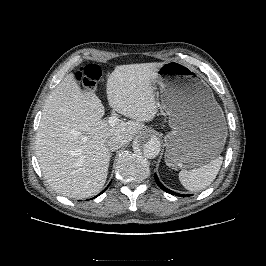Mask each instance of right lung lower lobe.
Segmentation results:
<instances>
[{
  "label": "right lung lower lobe",
  "instance_id": "1",
  "mask_svg": "<svg viewBox=\"0 0 266 266\" xmlns=\"http://www.w3.org/2000/svg\"><path fill=\"white\" fill-rule=\"evenodd\" d=\"M107 188H108V187H107ZM107 188H105L101 193H103ZM101 193H100V194H101ZM100 194H99V195H100Z\"/></svg>",
  "mask_w": 266,
  "mask_h": 266
}]
</instances>
